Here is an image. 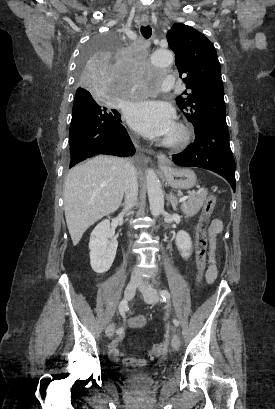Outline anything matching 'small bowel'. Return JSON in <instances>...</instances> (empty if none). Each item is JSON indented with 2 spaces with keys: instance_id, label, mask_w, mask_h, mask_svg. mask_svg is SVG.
I'll use <instances>...</instances> for the list:
<instances>
[{
  "instance_id": "obj_1",
  "label": "small bowel",
  "mask_w": 275,
  "mask_h": 409,
  "mask_svg": "<svg viewBox=\"0 0 275 409\" xmlns=\"http://www.w3.org/2000/svg\"><path fill=\"white\" fill-rule=\"evenodd\" d=\"M222 229V223L219 219H215L210 227V251H209V269L216 268V249H217V235ZM217 270V269H216ZM217 276V275H216ZM216 278V277H215ZM215 278L207 276L208 282H213ZM147 318L142 315L130 317L127 320V324L130 328L140 329L147 325ZM122 336L119 335L114 338L109 345V354L115 361H121L124 365L128 366H142L146 364L144 359L137 357H123L121 351L118 349V344L121 341Z\"/></svg>"
}]
</instances>
